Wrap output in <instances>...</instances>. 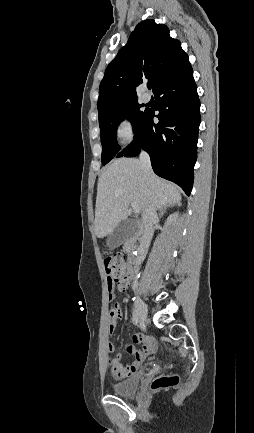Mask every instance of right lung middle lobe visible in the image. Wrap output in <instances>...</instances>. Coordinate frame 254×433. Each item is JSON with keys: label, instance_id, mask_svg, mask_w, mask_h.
Instances as JSON below:
<instances>
[{"label": "right lung middle lobe", "instance_id": "obj_1", "mask_svg": "<svg viewBox=\"0 0 254 433\" xmlns=\"http://www.w3.org/2000/svg\"><path fill=\"white\" fill-rule=\"evenodd\" d=\"M142 106L134 101L99 113L103 165L107 164L120 150L116 143V131L119 123L127 118L132 122L135 131L147 112V110H140Z\"/></svg>", "mask_w": 254, "mask_h": 433}]
</instances>
